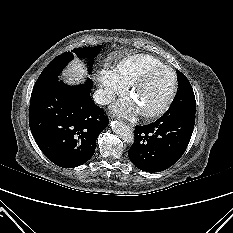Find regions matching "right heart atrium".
I'll use <instances>...</instances> for the list:
<instances>
[{
  "instance_id": "obj_1",
  "label": "right heart atrium",
  "mask_w": 233,
  "mask_h": 233,
  "mask_svg": "<svg viewBox=\"0 0 233 233\" xmlns=\"http://www.w3.org/2000/svg\"><path fill=\"white\" fill-rule=\"evenodd\" d=\"M100 87V102L108 103L116 95L125 91L126 85L119 77L116 69L104 67L98 72L97 76Z\"/></svg>"
}]
</instances>
